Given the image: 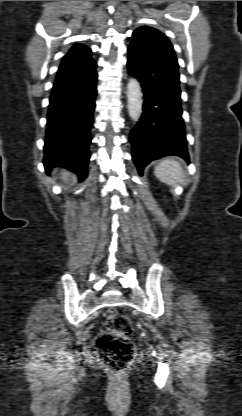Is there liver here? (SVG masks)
Masks as SVG:
<instances>
[{"mask_svg":"<svg viewBox=\"0 0 242 416\" xmlns=\"http://www.w3.org/2000/svg\"><path fill=\"white\" fill-rule=\"evenodd\" d=\"M60 178L65 182L68 183L70 182V173L63 170L60 172Z\"/></svg>","mask_w":242,"mask_h":416,"instance_id":"1","label":"liver"}]
</instances>
